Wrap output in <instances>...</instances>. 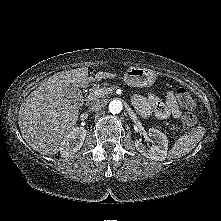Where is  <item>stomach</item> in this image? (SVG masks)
<instances>
[{
	"instance_id": "obj_1",
	"label": "stomach",
	"mask_w": 221,
	"mask_h": 221,
	"mask_svg": "<svg viewBox=\"0 0 221 221\" xmlns=\"http://www.w3.org/2000/svg\"><path fill=\"white\" fill-rule=\"evenodd\" d=\"M155 80L154 71L136 66L129 67L124 75L125 83L133 87H150Z\"/></svg>"
}]
</instances>
